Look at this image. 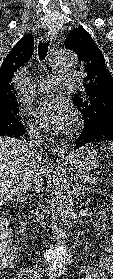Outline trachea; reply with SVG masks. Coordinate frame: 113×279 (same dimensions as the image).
<instances>
[{
    "label": "trachea",
    "instance_id": "3493384b",
    "mask_svg": "<svg viewBox=\"0 0 113 279\" xmlns=\"http://www.w3.org/2000/svg\"><path fill=\"white\" fill-rule=\"evenodd\" d=\"M49 44H50V40H48V41L41 40L39 43L38 55H39V59L41 61H43L47 55Z\"/></svg>",
    "mask_w": 113,
    "mask_h": 279
}]
</instances>
